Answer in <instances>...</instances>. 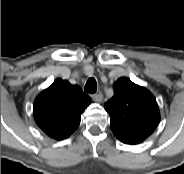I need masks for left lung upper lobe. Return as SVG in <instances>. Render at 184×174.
Masks as SVG:
<instances>
[{
    "label": "left lung upper lobe",
    "mask_w": 184,
    "mask_h": 174,
    "mask_svg": "<svg viewBox=\"0 0 184 174\" xmlns=\"http://www.w3.org/2000/svg\"><path fill=\"white\" fill-rule=\"evenodd\" d=\"M113 89L114 96L104 105L110 115L112 132L116 137L142 142L160 121L155 97L126 77L119 78Z\"/></svg>",
    "instance_id": "5c2ea615"
}]
</instances>
